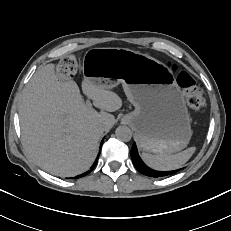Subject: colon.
I'll return each instance as SVG.
<instances>
[{
  "label": "colon",
  "mask_w": 231,
  "mask_h": 231,
  "mask_svg": "<svg viewBox=\"0 0 231 231\" xmlns=\"http://www.w3.org/2000/svg\"><path fill=\"white\" fill-rule=\"evenodd\" d=\"M58 69L65 76H73L77 71V62L73 57H65L60 61ZM177 82L186 93L188 106L193 112H199L204 102L202 93L198 89L194 78L188 72L180 71L177 76Z\"/></svg>",
  "instance_id": "1"
}]
</instances>
